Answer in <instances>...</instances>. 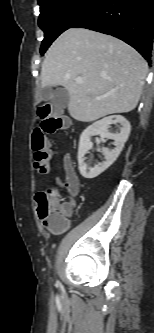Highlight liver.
<instances>
[{
	"mask_svg": "<svg viewBox=\"0 0 154 333\" xmlns=\"http://www.w3.org/2000/svg\"><path fill=\"white\" fill-rule=\"evenodd\" d=\"M147 70L144 58L120 39L70 28L48 49L41 68V86H63L69 93L70 116L92 122L135 109ZM77 78L83 82L76 83Z\"/></svg>",
	"mask_w": 154,
	"mask_h": 333,
	"instance_id": "obj_1",
	"label": "liver"
}]
</instances>
